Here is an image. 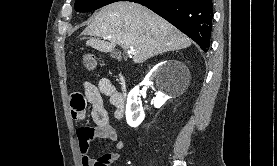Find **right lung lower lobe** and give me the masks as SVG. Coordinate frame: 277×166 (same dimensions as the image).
<instances>
[{
	"label": "right lung lower lobe",
	"instance_id": "obj_1",
	"mask_svg": "<svg viewBox=\"0 0 277 166\" xmlns=\"http://www.w3.org/2000/svg\"><path fill=\"white\" fill-rule=\"evenodd\" d=\"M139 3L177 27L193 39L202 50L210 47L212 0H121Z\"/></svg>",
	"mask_w": 277,
	"mask_h": 166
}]
</instances>
